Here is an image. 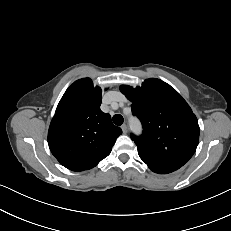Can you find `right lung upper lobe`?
<instances>
[{
	"label": "right lung upper lobe",
	"instance_id": "1",
	"mask_svg": "<svg viewBox=\"0 0 231 231\" xmlns=\"http://www.w3.org/2000/svg\"><path fill=\"white\" fill-rule=\"evenodd\" d=\"M102 90L90 78L75 81L61 98L48 131L55 158L72 171L95 167L107 157L122 130L100 110Z\"/></svg>",
	"mask_w": 231,
	"mask_h": 231
}]
</instances>
